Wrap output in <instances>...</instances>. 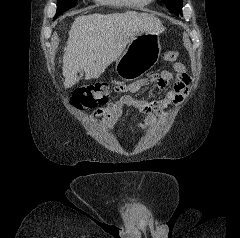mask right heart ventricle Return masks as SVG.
Listing matches in <instances>:
<instances>
[{
    "mask_svg": "<svg viewBox=\"0 0 240 238\" xmlns=\"http://www.w3.org/2000/svg\"><path fill=\"white\" fill-rule=\"evenodd\" d=\"M98 3H101L103 5L111 6L114 8H125V7H140L144 6L142 0H135V4L133 6L128 5L125 0H95Z\"/></svg>",
    "mask_w": 240,
    "mask_h": 238,
    "instance_id": "e07e8e85",
    "label": "right heart ventricle"
}]
</instances>
